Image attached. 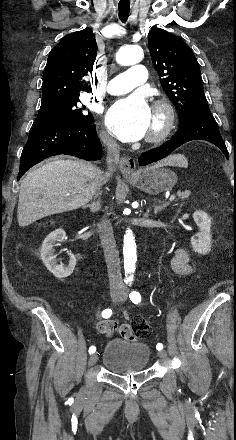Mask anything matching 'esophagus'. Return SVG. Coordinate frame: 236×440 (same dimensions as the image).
<instances>
[{
	"label": "esophagus",
	"instance_id": "esophagus-1",
	"mask_svg": "<svg viewBox=\"0 0 236 440\" xmlns=\"http://www.w3.org/2000/svg\"><path fill=\"white\" fill-rule=\"evenodd\" d=\"M119 168L124 177L130 178L136 174V163L134 158L122 157L119 162Z\"/></svg>",
	"mask_w": 236,
	"mask_h": 440
}]
</instances>
